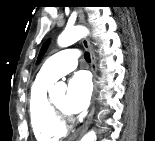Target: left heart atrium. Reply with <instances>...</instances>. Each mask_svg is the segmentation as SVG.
Returning <instances> with one entry per match:
<instances>
[{
  "label": "left heart atrium",
  "mask_w": 155,
  "mask_h": 141,
  "mask_svg": "<svg viewBox=\"0 0 155 141\" xmlns=\"http://www.w3.org/2000/svg\"><path fill=\"white\" fill-rule=\"evenodd\" d=\"M91 97V82L85 72L76 73L68 84L65 109L71 114L83 112Z\"/></svg>",
  "instance_id": "39dd6f15"
}]
</instances>
